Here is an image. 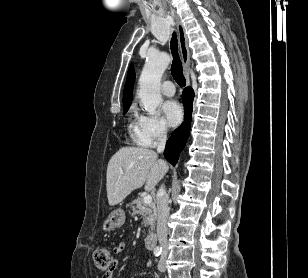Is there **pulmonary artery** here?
Listing matches in <instances>:
<instances>
[{
  "mask_svg": "<svg viewBox=\"0 0 308 278\" xmlns=\"http://www.w3.org/2000/svg\"><path fill=\"white\" fill-rule=\"evenodd\" d=\"M161 92L168 97L173 96L175 93L174 84L171 81H165L161 86Z\"/></svg>",
  "mask_w": 308,
  "mask_h": 278,
  "instance_id": "pulmonary-artery-1",
  "label": "pulmonary artery"
}]
</instances>
